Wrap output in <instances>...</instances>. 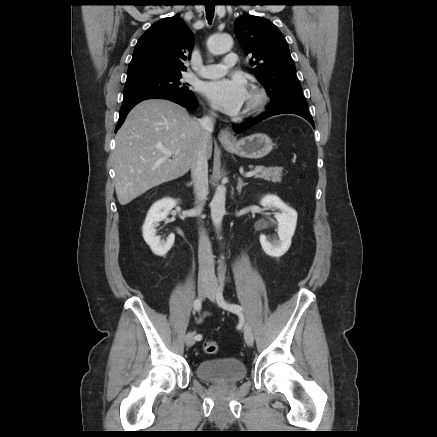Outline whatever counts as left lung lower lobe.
Segmentation results:
<instances>
[{
    "instance_id": "obj_1",
    "label": "left lung lower lobe",
    "mask_w": 437,
    "mask_h": 437,
    "mask_svg": "<svg viewBox=\"0 0 437 437\" xmlns=\"http://www.w3.org/2000/svg\"><path fill=\"white\" fill-rule=\"evenodd\" d=\"M284 113H290V114H296L303 118H305L313 127H315L312 116L308 112L307 109H301L297 107H278V108H272L268 109L267 112L263 113L261 116L246 122L242 124H236L233 126L234 131L237 133L243 132L246 129L250 128L251 126L255 125L256 123L262 121L263 119H266L268 117L278 115V114H284Z\"/></svg>"
}]
</instances>
